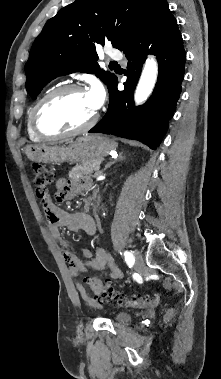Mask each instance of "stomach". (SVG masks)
<instances>
[{"mask_svg":"<svg viewBox=\"0 0 221 379\" xmlns=\"http://www.w3.org/2000/svg\"><path fill=\"white\" fill-rule=\"evenodd\" d=\"M117 148V142L99 134L84 135L69 145L27 146L25 153L33 162L60 164L62 162H83L101 159L103 155Z\"/></svg>","mask_w":221,"mask_h":379,"instance_id":"obj_1","label":"stomach"}]
</instances>
